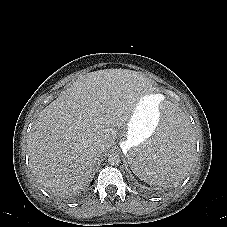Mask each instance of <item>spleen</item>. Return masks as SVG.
Returning <instances> with one entry per match:
<instances>
[{
	"label": "spleen",
	"instance_id": "1",
	"mask_svg": "<svg viewBox=\"0 0 227 227\" xmlns=\"http://www.w3.org/2000/svg\"><path fill=\"white\" fill-rule=\"evenodd\" d=\"M160 117L155 133L128 152L126 163L144 182L169 188L187 177L193 165L195 147L190 123L179 104H164Z\"/></svg>",
	"mask_w": 227,
	"mask_h": 227
}]
</instances>
